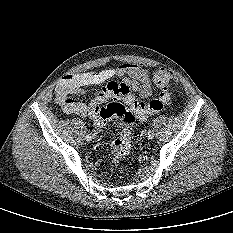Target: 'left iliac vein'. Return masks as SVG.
<instances>
[{
  "label": "left iliac vein",
  "mask_w": 233,
  "mask_h": 233,
  "mask_svg": "<svg viewBox=\"0 0 233 233\" xmlns=\"http://www.w3.org/2000/svg\"><path fill=\"white\" fill-rule=\"evenodd\" d=\"M140 136L141 137H146L147 136V131L146 130H141L140 131Z\"/></svg>",
  "instance_id": "1"
}]
</instances>
